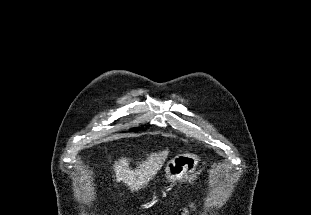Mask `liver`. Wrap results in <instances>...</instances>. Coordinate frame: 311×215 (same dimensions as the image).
<instances>
[{
	"mask_svg": "<svg viewBox=\"0 0 311 215\" xmlns=\"http://www.w3.org/2000/svg\"><path fill=\"white\" fill-rule=\"evenodd\" d=\"M168 149L158 153H151L145 161L137 164V168L132 170L129 166L130 159L122 157L115 162L113 168L116 174V181L123 182L131 192L139 191L157 174L163 166Z\"/></svg>",
	"mask_w": 311,
	"mask_h": 215,
	"instance_id": "obj_1",
	"label": "liver"
}]
</instances>
